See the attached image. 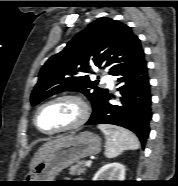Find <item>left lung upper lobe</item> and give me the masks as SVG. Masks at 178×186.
Masks as SVG:
<instances>
[{"label":"left lung upper lobe","instance_id":"1","mask_svg":"<svg viewBox=\"0 0 178 186\" xmlns=\"http://www.w3.org/2000/svg\"><path fill=\"white\" fill-rule=\"evenodd\" d=\"M144 57L140 40L131 29L116 20L99 18L50 57L40 70L38 83L31 94V104L63 91L82 92L95 110L107 89L97 86L86 73L97 66L118 75Z\"/></svg>","mask_w":178,"mask_h":186}]
</instances>
